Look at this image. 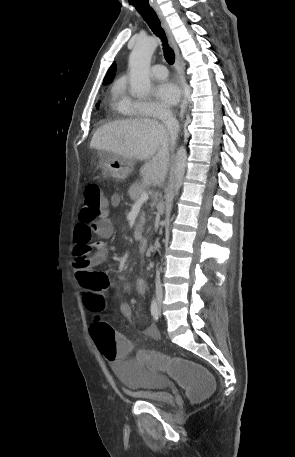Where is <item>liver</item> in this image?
<instances>
[{"mask_svg": "<svg viewBox=\"0 0 295 457\" xmlns=\"http://www.w3.org/2000/svg\"><path fill=\"white\" fill-rule=\"evenodd\" d=\"M166 127L151 119L115 121L98 128L90 148L129 159L143 160L140 169L143 181L162 186L169 166V142Z\"/></svg>", "mask_w": 295, "mask_h": 457, "instance_id": "liver-1", "label": "liver"}]
</instances>
